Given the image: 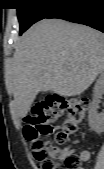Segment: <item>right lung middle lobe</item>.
<instances>
[{
    "instance_id": "obj_1",
    "label": "right lung middle lobe",
    "mask_w": 104,
    "mask_h": 169,
    "mask_svg": "<svg viewBox=\"0 0 104 169\" xmlns=\"http://www.w3.org/2000/svg\"><path fill=\"white\" fill-rule=\"evenodd\" d=\"M21 35L35 22L47 18L62 4L70 0H15Z\"/></svg>"
}]
</instances>
